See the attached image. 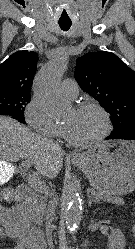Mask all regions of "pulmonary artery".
I'll list each match as a JSON object with an SVG mask.
<instances>
[{
	"label": "pulmonary artery",
	"instance_id": "e3ab8cb5",
	"mask_svg": "<svg viewBox=\"0 0 135 249\" xmlns=\"http://www.w3.org/2000/svg\"><path fill=\"white\" fill-rule=\"evenodd\" d=\"M62 95L68 99H75L78 95V85L74 79H65L60 85Z\"/></svg>",
	"mask_w": 135,
	"mask_h": 249
}]
</instances>
